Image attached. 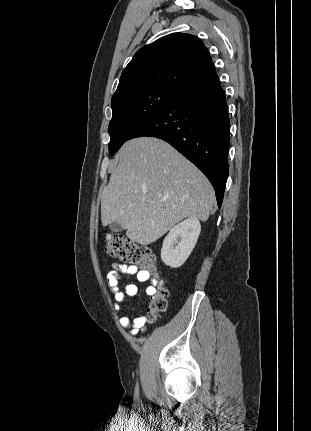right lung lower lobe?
I'll return each instance as SVG.
<instances>
[{
	"label": "right lung lower lobe",
	"instance_id": "98d812e1",
	"mask_svg": "<svg viewBox=\"0 0 311 431\" xmlns=\"http://www.w3.org/2000/svg\"><path fill=\"white\" fill-rule=\"evenodd\" d=\"M229 128L225 93L217 78L180 94L129 139L150 136L171 144L209 179L220 208L228 177Z\"/></svg>",
	"mask_w": 311,
	"mask_h": 431
}]
</instances>
